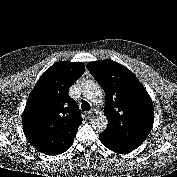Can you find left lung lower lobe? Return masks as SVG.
Here are the masks:
<instances>
[{
  "label": "left lung lower lobe",
  "instance_id": "0a47b994",
  "mask_svg": "<svg viewBox=\"0 0 177 177\" xmlns=\"http://www.w3.org/2000/svg\"><path fill=\"white\" fill-rule=\"evenodd\" d=\"M102 143L104 144V146L111 149L112 151H116V152H120V153H124V152L131 150V149H134L129 146L128 147L122 146L121 144L115 143L114 141L110 142V141H105L102 139Z\"/></svg>",
  "mask_w": 177,
  "mask_h": 177
}]
</instances>
